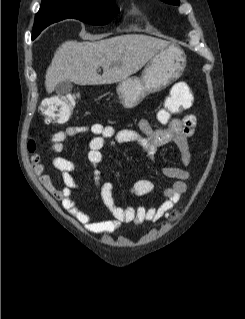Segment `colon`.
Instances as JSON below:
<instances>
[{
  "label": "colon",
  "instance_id": "colon-1",
  "mask_svg": "<svg viewBox=\"0 0 245 319\" xmlns=\"http://www.w3.org/2000/svg\"><path fill=\"white\" fill-rule=\"evenodd\" d=\"M188 107L184 91H171V95L166 100L165 108L158 114V120L167 122L170 116L180 114ZM73 108L74 98L69 95H60L45 100L42 105V113L52 123H63L68 120ZM35 147V143L30 141L29 150L33 152Z\"/></svg>",
  "mask_w": 245,
  "mask_h": 319
}]
</instances>
